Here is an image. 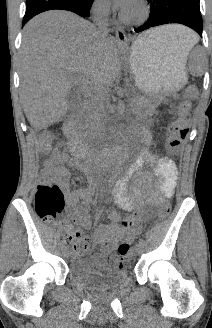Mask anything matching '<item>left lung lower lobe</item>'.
<instances>
[{
    "label": "left lung lower lobe",
    "instance_id": "left-lung-lower-lobe-1",
    "mask_svg": "<svg viewBox=\"0 0 212 328\" xmlns=\"http://www.w3.org/2000/svg\"><path fill=\"white\" fill-rule=\"evenodd\" d=\"M150 4L149 19L133 32H141L151 27L179 23L195 30L202 37L203 21L199 0H147Z\"/></svg>",
    "mask_w": 212,
    "mask_h": 328
}]
</instances>
